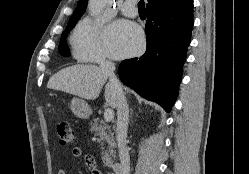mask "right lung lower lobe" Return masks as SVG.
Here are the masks:
<instances>
[{
  "instance_id": "obj_1",
  "label": "right lung lower lobe",
  "mask_w": 249,
  "mask_h": 174,
  "mask_svg": "<svg viewBox=\"0 0 249 174\" xmlns=\"http://www.w3.org/2000/svg\"><path fill=\"white\" fill-rule=\"evenodd\" d=\"M147 49L119 66L121 81L142 97L173 106L193 27V0H177L147 10Z\"/></svg>"
}]
</instances>
